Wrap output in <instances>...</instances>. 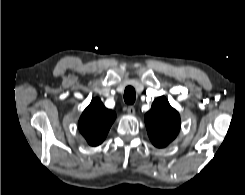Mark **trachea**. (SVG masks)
<instances>
[{
	"mask_svg": "<svg viewBox=\"0 0 245 195\" xmlns=\"http://www.w3.org/2000/svg\"><path fill=\"white\" fill-rule=\"evenodd\" d=\"M135 98H136V93H135V89L132 86H128L126 87L125 91H124V101L127 104H133L135 102Z\"/></svg>",
	"mask_w": 245,
	"mask_h": 195,
	"instance_id": "obj_1",
	"label": "trachea"
}]
</instances>
